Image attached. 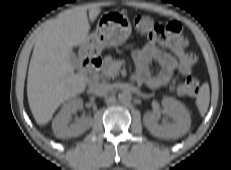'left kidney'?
Listing matches in <instances>:
<instances>
[{
    "label": "left kidney",
    "instance_id": "5707ae66",
    "mask_svg": "<svg viewBox=\"0 0 231 170\" xmlns=\"http://www.w3.org/2000/svg\"><path fill=\"white\" fill-rule=\"evenodd\" d=\"M162 106L174 123L159 125V112H146L143 121L150 133L163 139H178L186 134L191 126V117L185 106L172 97L163 98Z\"/></svg>",
    "mask_w": 231,
    "mask_h": 170
}]
</instances>
